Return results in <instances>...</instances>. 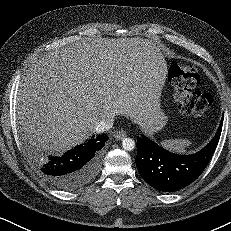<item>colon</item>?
<instances>
[{
    "label": "colon",
    "instance_id": "5ec220e1",
    "mask_svg": "<svg viewBox=\"0 0 231 231\" xmlns=\"http://www.w3.org/2000/svg\"><path fill=\"white\" fill-rule=\"evenodd\" d=\"M168 78L174 87L175 99L182 113L201 115L211 107L212 96L194 90L199 81V74L194 66L175 64L169 69Z\"/></svg>",
    "mask_w": 231,
    "mask_h": 231
}]
</instances>
